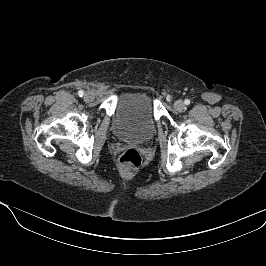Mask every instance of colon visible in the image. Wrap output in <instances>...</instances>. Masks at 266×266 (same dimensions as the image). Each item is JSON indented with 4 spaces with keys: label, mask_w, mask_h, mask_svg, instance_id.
<instances>
[{
    "label": "colon",
    "mask_w": 266,
    "mask_h": 266,
    "mask_svg": "<svg viewBox=\"0 0 266 266\" xmlns=\"http://www.w3.org/2000/svg\"><path fill=\"white\" fill-rule=\"evenodd\" d=\"M141 160L140 153L136 149L130 148L120 156L119 163L123 168L136 169L140 166Z\"/></svg>",
    "instance_id": "5ec220e1"
}]
</instances>
